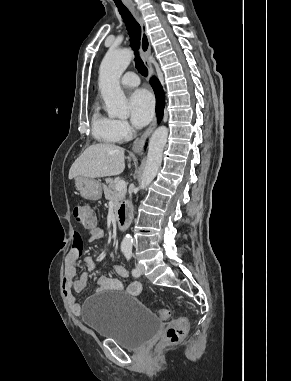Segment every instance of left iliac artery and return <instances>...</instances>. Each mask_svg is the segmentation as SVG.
<instances>
[{
	"label": "left iliac artery",
	"instance_id": "44dca946",
	"mask_svg": "<svg viewBox=\"0 0 291 381\" xmlns=\"http://www.w3.org/2000/svg\"><path fill=\"white\" fill-rule=\"evenodd\" d=\"M124 255H125L126 259L129 261V260L132 258L133 253H132L131 250H125V251H124ZM132 275H133L134 277H138V276H140V274H139L137 268H133V269H132Z\"/></svg>",
	"mask_w": 291,
	"mask_h": 381
}]
</instances>
